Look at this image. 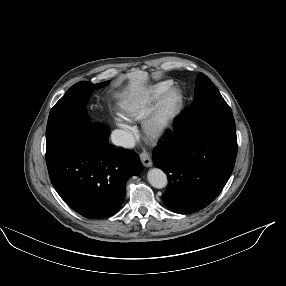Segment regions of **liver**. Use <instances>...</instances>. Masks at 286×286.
<instances>
[{"label":"liver","instance_id":"obj_1","mask_svg":"<svg viewBox=\"0 0 286 286\" xmlns=\"http://www.w3.org/2000/svg\"><path fill=\"white\" fill-rule=\"evenodd\" d=\"M130 79L129 91L126 95L129 99L141 97L147 92L144 83L148 79V74L144 71H135L126 75Z\"/></svg>","mask_w":286,"mask_h":286}]
</instances>
